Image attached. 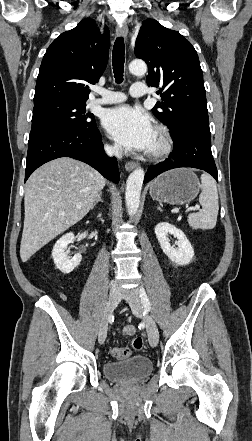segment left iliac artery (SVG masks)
Masks as SVG:
<instances>
[{
    "instance_id": "44dca946",
    "label": "left iliac artery",
    "mask_w": 252,
    "mask_h": 441,
    "mask_svg": "<svg viewBox=\"0 0 252 441\" xmlns=\"http://www.w3.org/2000/svg\"><path fill=\"white\" fill-rule=\"evenodd\" d=\"M140 298H141V302L144 306L145 312H148L151 308V304H150V301L148 299V296H147L144 288H140Z\"/></svg>"
}]
</instances>
